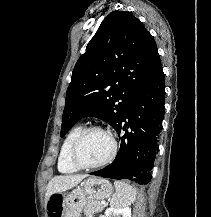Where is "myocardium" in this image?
<instances>
[{
	"label": "myocardium",
	"instance_id": "1",
	"mask_svg": "<svg viewBox=\"0 0 211 217\" xmlns=\"http://www.w3.org/2000/svg\"><path fill=\"white\" fill-rule=\"evenodd\" d=\"M92 131H102L106 133L111 139L112 148H111L109 155L104 160L98 163L87 164L81 160L79 152H80L82 142L85 139L86 135ZM116 154H117V141L114 135L106 128H103L97 125H92V126L83 128L81 132L78 134V136L74 140L73 145L71 147L70 157H71L72 163L79 169H95V168L103 167L109 164L110 162H112Z\"/></svg>",
	"mask_w": 211,
	"mask_h": 217
}]
</instances>
